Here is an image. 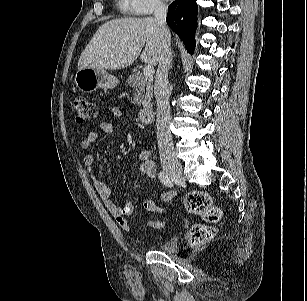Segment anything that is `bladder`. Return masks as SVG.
I'll list each match as a JSON object with an SVG mask.
<instances>
[{
	"mask_svg": "<svg viewBox=\"0 0 307 301\" xmlns=\"http://www.w3.org/2000/svg\"><path fill=\"white\" fill-rule=\"evenodd\" d=\"M178 246V238L177 237H170L161 242L159 245V250L162 252H173L176 250Z\"/></svg>",
	"mask_w": 307,
	"mask_h": 301,
	"instance_id": "1",
	"label": "bladder"
}]
</instances>
